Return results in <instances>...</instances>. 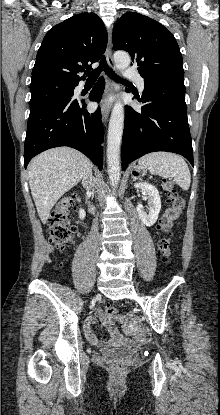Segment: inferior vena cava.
<instances>
[{
	"mask_svg": "<svg viewBox=\"0 0 220 415\" xmlns=\"http://www.w3.org/2000/svg\"><path fill=\"white\" fill-rule=\"evenodd\" d=\"M92 178L90 177V175L89 176H87V177H85L84 179H83V184L84 185H87V183H88V181L89 180H91Z\"/></svg>",
	"mask_w": 220,
	"mask_h": 415,
	"instance_id": "602c4592",
	"label": "inferior vena cava"
}]
</instances>
